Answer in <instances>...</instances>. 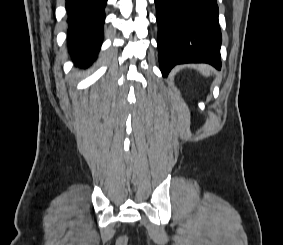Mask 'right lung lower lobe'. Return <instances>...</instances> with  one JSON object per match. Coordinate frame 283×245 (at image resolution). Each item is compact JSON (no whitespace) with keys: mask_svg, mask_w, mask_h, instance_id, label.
<instances>
[{"mask_svg":"<svg viewBox=\"0 0 283 245\" xmlns=\"http://www.w3.org/2000/svg\"><path fill=\"white\" fill-rule=\"evenodd\" d=\"M107 0H67L68 45L77 65L95 60L103 38Z\"/></svg>","mask_w":283,"mask_h":245,"instance_id":"98d812e1","label":"right lung lower lobe"}]
</instances>
